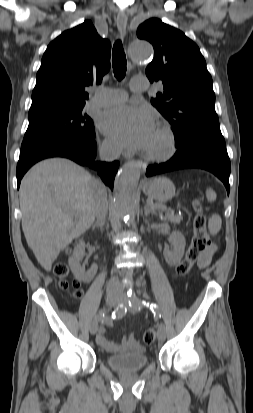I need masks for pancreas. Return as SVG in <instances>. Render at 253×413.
<instances>
[{
    "label": "pancreas",
    "instance_id": "obj_1",
    "mask_svg": "<svg viewBox=\"0 0 253 413\" xmlns=\"http://www.w3.org/2000/svg\"><path fill=\"white\" fill-rule=\"evenodd\" d=\"M156 208L161 212H165V216H164L165 220H167L171 223H180L181 222L182 217L180 215H176L171 208H167L163 204H157Z\"/></svg>",
    "mask_w": 253,
    "mask_h": 413
}]
</instances>
